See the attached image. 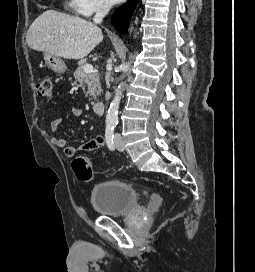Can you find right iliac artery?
I'll return each mask as SVG.
<instances>
[{
    "instance_id": "82829eb1",
    "label": "right iliac artery",
    "mask_w": 255,
    "mask_h": 272,
    "mask_svg": "<svg viewBox=\"0 0 255 272\" xmlns=\"http://www.w3.org/2000/svg\"><path fill=\"white\" fill-rule=\"evenodd\" d=\"M106 144L110 150H115L114 145V131L111 128H107L105 131Z\"/></svg>"
}]
</instances>
